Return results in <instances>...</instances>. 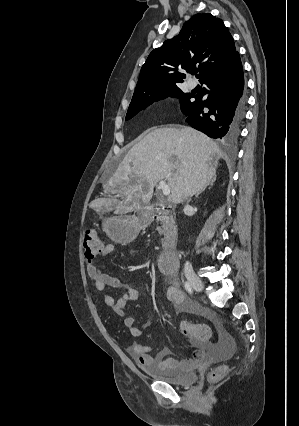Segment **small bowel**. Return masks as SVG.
Returning a JSON list of instances; mask_svg holds the SVG:
<instances>
[{"mask_svg": "<svg viewBox=\"0 0 299 426\" xmlns=\"http://www.w3.org/2000/svg\"><path fill=\"white\" fill-rule=\"evenodd\" d=\"M113 244H106L103 246L99 257L105 258L114 251ZM87 273L91 278L95 288L102 292L104 303L109 306L117 315L124 317V325L128 328L131 336L137 339L142 336V330L135 324V319L131 316H127L125 313V307L128 302L138 301L140 294L138 290L134 288H127L124 293L119 297L115 298L109 288L121 287V281L110 274L105 273L96 262L87 263ZM170 279V284L166 288V297L174 305L175 310L178 313L197 311V307L189 301L182 290L180 289L177 281L173 278V275H167ZM204 315L209 317L218 326V323L207 312H202ZM190 345L195 349L193 356L190 359L177 360L171 356V352L168 348L164 347L160 349L154 356L151 355L152 348L146 344L140 343L134 340L130 347V355L138 361L140 365H152L162 369L181 368L184 370H191L200 365L207 364L212 357L217 353L215 345L211 342H199L192 340Z\"/></svg>", "mask_w": 299, "mask_h": 426, "instance_id": "small-bowel-1", "label": "small bowel"}]
</instances>
